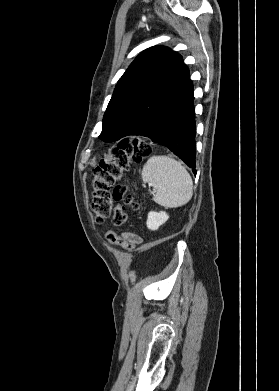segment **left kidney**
Returning a JSON list of instances; mask_svg holds the SVG:
<instances>
[{"mask_svg":"<svg viewBox=\"0 0 279 391\" xmlns=\"http://www.w3.org/2000/svg\"><path fill=\"white\" fill-rule=\"evenodd\" d=\"M168 218L169 216L164 211H151L148 213V218L146 222L147 227L150 230H157L162 224H164L168 220Z\"/></svg>","mask_w":279,"mask_h":391,"instance_id":"obj_1","label":"left kidney"}]
</instances>
